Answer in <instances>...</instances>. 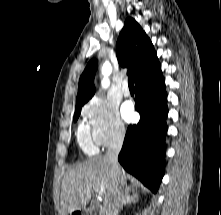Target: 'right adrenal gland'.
Wrapping results in <instances>:
<instances>
[{
  "label": "right adrenal gland",
  "instance_id": "right-adrenal-gland-1",
  "mask_svg": "<svg viewBox=\"0 0 221 215\" xmlns=\"http://www.w3.org/2000/svg\"><path fill=\"white\" fill-rule=\"evenodd\" d=\"M138 199L139 198H138V194L137 193L132 191V194H131V190L127 191L125 199H124V202H123L120 210L123 209V205L126 206V205L135 204L136 202H138Z\"/></svg>",
  "mask_w": 221,
  "mask_h": 215
}]
</instances>
